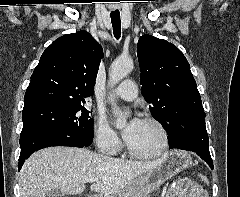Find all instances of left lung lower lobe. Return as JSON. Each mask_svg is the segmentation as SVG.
<instances>
[{
  "label": "left lung lower lobe",
  "mask_w": 240,
  "mask_h": 197,
  "mask_svg": "<svg viewBox=\"0 0 240 197\" xmlns=\"http://www.w3.org/2000/svg\"><path fill=\"white\" fill-rule=\"evenodd\" d=\"M168 130L171 148L193 151L213 169L202 105L196 104L190 110L178 115L177 118H173Z\"/></svg>",
  "instance_id": "obj_1"
}]
</instances>
